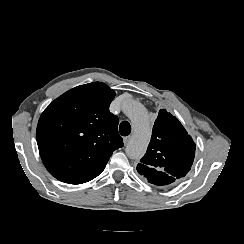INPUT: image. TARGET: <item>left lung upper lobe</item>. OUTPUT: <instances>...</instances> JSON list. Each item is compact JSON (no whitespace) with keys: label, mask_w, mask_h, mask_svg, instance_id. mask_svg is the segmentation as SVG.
Masks as SVG:
<instances>
[{"label":"left lung upper lobe","mask_w":244,"mask_h":244,"mask_svg":"<svg viewBox=\"0 0 244 244\" xmlns=\"http://www.w3.org/2000/svg\"><path fill=\"white\" fill-rule=\"evenodd\" d=\"M194 157L195 143L191 136L176 117L161 109L137 171L152 184L168 185L173 178L180 180L189 172Z\"/></svg>","instance_id":"1"}]
</instances>
